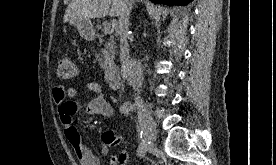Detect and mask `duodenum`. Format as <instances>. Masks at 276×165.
I'll use <instances>...</instances> for the list:
<instances>
[{
    "instance_id": "410a0bca",
    "label": "duodenum",
    "mask_w": 276,
    "mask_h": 165,
    "mask_svg": "<svg viewBox=\"0 0 276 165\" xmlns=\"http://www.w3.org/2000/svg\"><path fill=\"white\" fill-rule=\"evenodd\" d=\"M106 81L110 88L117 89L120 87L122 82V70L120 66L116 63H112L106 69Z\"/></svg>"
}]
</instances>
